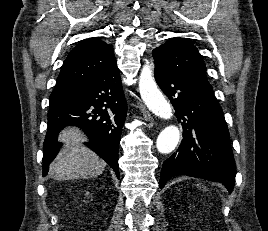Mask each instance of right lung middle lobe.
<instances>
[{"instance_id":"right-lung-middle-lobe-1","label":"right lung middle lobe","mask_w":268,"mask_h":231,"mask_svg":"<svg viewBox=\"0 0 268 231\" xmlns=\"http://www.w3.org/2000/svg\"><path fill=\"white\" fill-rule=\"evenodd\" d=\"M77 94L76 89L54 90L50 96V106H57L73 99Z\"/></svg>"}]
</instances>
